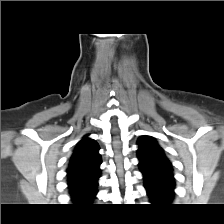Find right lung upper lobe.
<instances>
[{
  "instance_id": "1",
  "label": "right lung upper lobe",
  "mask_w": 224,
  "mask_h": 224,
  "mask_svg": "<svg viewBox=\"0 0 224 224\" xmlns=\"http://www.w3.org/2000/svg\"><path fill=\"white\" fill-rule=\"evenodd\" d=\"M99 145L88 135L77 144L67 168L68 187L73 200L97 193L101 156Z\"/></svg>"
}]
</instances>
